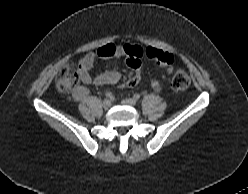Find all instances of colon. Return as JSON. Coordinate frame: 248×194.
I'll use <instances>...</instances> for the list:
<instances>
[{"label": "colon", "mask_w": 248, "mask_h": 194, "mask_svg": "<svg viewBox=\"0 0 248 194\" xmlns=\"http://www.w3.org/2000/svg\"><path fill=\"white\" fill-rule=\"evenodd\" d=\"M155 60L159 66H170L174 63L173 55L157 50L154 52ZM140 79V72L136 70L134 72V76L132 77V81L138 83ZM79 80V74L77 68L74 64L69 63L63 66L60 70L58 79H57V88L62 92H68L73 90ZM191 83L190 76L184 70H178L174 74L171 80V86L174 90L183 91L186 90ZM123 87L128 86V81L122 84Z\"/></svg>", "instance_id": "obj_1"}]
</instances>
